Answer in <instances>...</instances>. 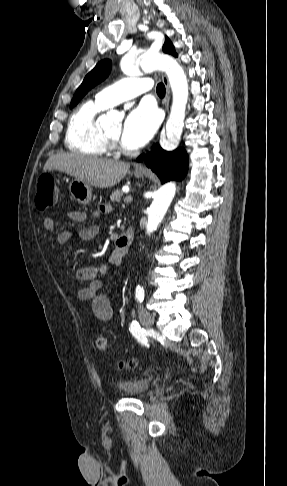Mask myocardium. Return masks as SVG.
Returning a JSON list of instances; mask_svg holds the SVG:
<instances>
[{
    "label": "myocardium",
    "instance_id": "obj_1",
    "mask_svg": "<svg viewBox=\"0 0 287 486\" xmlns=\"http://www.w3.org/2000/svg\"><path fill=\"white\" fill-rule=\"evenodd\" d=\"M103 135H104V138H105V140H106V142H107V144L109 146L116 147L118 145V141L117 140H114V139L110 138L107 134H104L103 133Z\"/></svg>",
    "mask_w": 287,
    "mask_h": 486
}]
</instances>
